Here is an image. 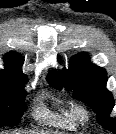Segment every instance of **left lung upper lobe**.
I'll return each mask as SVG.
<instances>
[{
	"mask_svg": "<svg viewBox=\"0 0 116 134\" xmlns=\"http://www.w3.org/2000/svg\"><path fill=\"white\" fill-rule=\"evenodd\" d=\"M47 81L56 89L65 87L66 90H73V97L96 113L98 123L116 134V118L109 117L115 101L106 89L107 73L105 69L92 64L87 54L74 56L68 70L51 71Z\"/></svg>",
	"mask_w": 116,
	"mask_h": 134,
	"instance_id": "left-lung-upper-lobe-1",
	"label": "left lung upper lobe"
}]
</instances>
